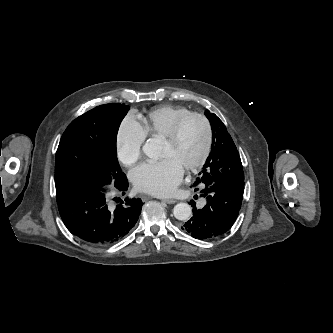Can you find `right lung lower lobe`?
I'll return each instance as SVG.
<instances>
[{
    "mask_svg": "<svg viewBox=\"0 0 333 333\" xmlns=\"http://www.w3.org/2000/svg\"><path fill=\"white\" fill-rule=\"evenodd\" d=\"M108 186L82 181L68 185L56 194L59 213L67 229L93 245H110L121 240L135 226L141 213L143 202L140 198H125L115 209L111 208ZM111 186L125 194L128 189L125 174H115Z\"/></svg>",
    "mask_w": 333,
    "mask_h": 333,
    "instance_id": "1",
    "label": "right lung lower lobe"
}]
</instances>
